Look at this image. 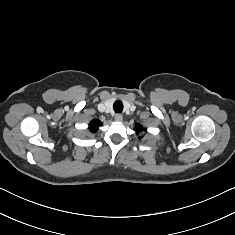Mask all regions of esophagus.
I'll use <instances>...</instances> for the list:
<instances>
[{"label":"esophagus","instance_id":"esophagus-1","mask_svg":"<svg viewBox=\"0 0 235 235\" xmlns=\"http://www.w3.org/2000/svg\"><path fill=\"white\" fill-rule=\"evenodd\" d=\"M114 119L118 122L122 121L123 116L121 114H115Z\"/></svg>","mask_w":235,"mask_h":235}]
</instances>
